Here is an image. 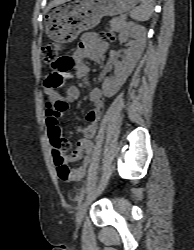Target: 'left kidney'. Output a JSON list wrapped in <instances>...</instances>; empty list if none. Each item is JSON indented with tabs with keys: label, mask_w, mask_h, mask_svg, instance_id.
<instances>
[{
	"label": "left kidney",
	"mask_w": 194,
	"mask_h": 250,
	"mask_svg": "<svg viewBox=\"0 0 194 250\" xmlns=\"http://www.w3.org/2000/svg\"><path fill=\"white\" fill-rule=\"evenodd\" d=\"M129 38L134 39V41L130 43V47L126 52L125 60L116 69V77L108 83H105L103 87L104 89L109 86L112 87L113 93L118 91L119 88L125 83L126 79L132 73L143 54L146 46L145 27L134 22L126 23L119 34V41L120 43H125Z\"/></svg>",
	"instance_id": "5707ae66"
}]
</instances>
